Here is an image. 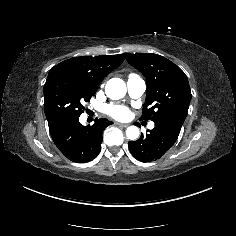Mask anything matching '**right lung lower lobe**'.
Wrapping results in <instances>:
<instances>
[{
    "mask_svg": "<svg viewBox=\"0 0 236 236\" xmlns=\"http://www.w3.org/2000/svg\"><path fill=\"white\" fill-rule=\"evenodd\" d=\"M113 124L108 119H95L90 126H83L79 117L49 126L50 135L69 160L84 163L93 160L100 152L103 130Z\"/></svg>",
    "mask_w": 236,
    "mask_h": 236,
    "instance_id": "right-lung-lower-lobe-1",
    "label": "right lung lower lobe"
}]
</instances>
